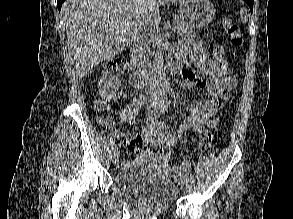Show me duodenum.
Returning <instances> with one entry per match:
<instances>
[{
	"mask_svg": "<svg viewBox=\"0 0 293 219\" xmlns=\"http://www.w3.org/2000/svg\"><path fill=\"white\" fill-rule=\"evenodd\" d=\"M142 41L139 39L135 41L132 47L131 52V61L130 67L132 69V74L130 77V83L135 88H141L143 86V71L144 65L142 61ZM169 70L172 74H176L179 69L180 65L176 60H171L169 63Z\"/></svg>",
	"mask_w": 293,
	"mask_h": 219,
	"instance_id": "410a0bca",
	"label": "duodenum"
}]
</instances>
